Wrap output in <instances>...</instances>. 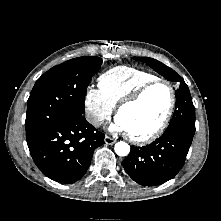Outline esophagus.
<instances>
[{"label": "esophagus", "instance_id": "34e87169", "mask_svg": "<svg viewBox=\"0 0 221 221\" xmlns=\"http://www.w3.org/2000/svg\"><path fill=\"white\" fill-rule=\"evenodd\" d=\"M104 142L107 144V145H112L116 142L115 139L109 137V136H105L104 137Z\"/></svg>", "mask_w": 221, "mask_h": 221}]
</instances>
